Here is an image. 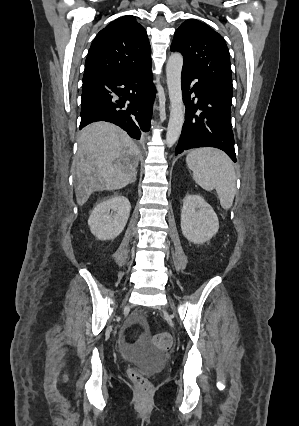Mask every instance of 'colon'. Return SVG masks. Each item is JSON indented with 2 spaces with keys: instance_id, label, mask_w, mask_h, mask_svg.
<instances>
[{
  "instance_id": "1",
  "label": "colon",
  "mask_w": 299,
  "mask_h": 426,
  "mask_svg": "<svg viewBox=\"0 0 299 426\" xmlns=\"http://www.w3.org/2000/svg\"><path fill=\"white\" fill-rule=\"evenodd\" d=\"M153 343L158 349L166 350L172 346L173 338L171 334L162 332L154 336ZM128 375L140 397H146L151 393L152 385L145 373L137 368H131Z\"/></svg>"
}]
</instances>
